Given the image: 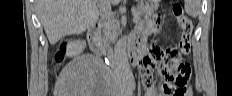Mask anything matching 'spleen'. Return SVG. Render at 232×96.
Segmentation results:
<instances>
[{
    "mask_svg": "<svg viewBox=\"0 0 232 96\" xmlns=\"http://www.w3.org/2000/svg\"><path fill=\"white\" fill-rule=\"evenodd\" d=\"M184 9L191 17H197L201 13L200 0H185Z\"/></svg>",
    "mask_w": 232,
    "mask_h": 96,
    "instance_id": "spleen-1",
    "label": "spleen"
}]
</instances>
